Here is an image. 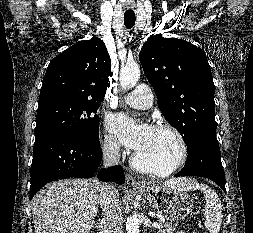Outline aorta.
Instances as JSON below:
<instances>
[{"label":"aorta","instance_id":"obj_1","mask_svg":"<svg viewBox=\"0 0 253 233\" xmlns=\"http://www.w3.org/2000/svg\"><path fill=\"white\" fill-rule=\"evenodd\" d=\"M140 78V68L137 63L124 66L120 70V84L124 90L131 89L136 85ZM127 233H139V220L136 214H133L126 222Z\"/></svg>","mask_w":253,"mask_h":233}]
</instances>
